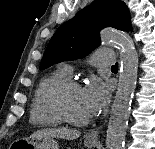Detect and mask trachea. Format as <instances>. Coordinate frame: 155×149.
Returning a JSON list of instances; mask_svg holds the SVG:
<instances>
[{"instance_id": "trachea-1", "label": "trachea", "mask_w": 155, "mask_h": 149, "mask_svg": "<svg viewBox=\"0 0 155 149\" xmlns=\"http://www.w3.org/2000/svg\"><path fill=\"white\" fill-rule=\"evenodd\" d=\"M111 69H118V63H116L115 65H113V66L111 67Z\"/></svg>"}]
</instances>
